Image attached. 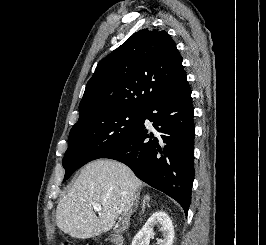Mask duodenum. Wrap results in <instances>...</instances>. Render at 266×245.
Here are the masks:
<instances>
[{
  "mask_svg": "<svg viewBox=\"0 0 266 245\" xmlns=\"http://www.w3.org/2000/svg\"><path fill=\"white\" fill-rule=\"evenodd\" d=\"M114 244L115 245H122V243L120 242V240H116V242Z\"/></svg>",
  "mask_w": 266,
  "mask_h": 245,
  "instance_id": "1",
  "label": "duodenum"
}]
</instances>
